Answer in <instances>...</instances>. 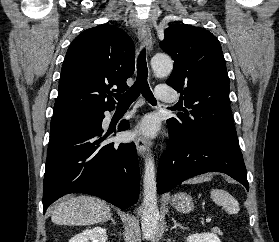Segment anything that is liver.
<instances>
[{
  "mask_svg": "<svg viewBox=\"0 0 279 242\" xmlns=\"http://www.w3.org/2000/svg\"><path fill=\"white\" fill-rule=\"evenodd\" d=\"M203 181V178L192 182ZM110 214V207L98 198L81 195L67 196L54 206L51 220L57 225H90L104 222Z\"/></svg>",
  "mask_w": 279,
  "mask_h": 242,
  "instance_id": "liver-1",
  "label": "liver"
}]
</instances>
